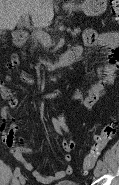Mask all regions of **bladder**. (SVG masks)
Instances as JSON below:
<instances>
[{"label": "bladder", "mask_w": 119, "mask_h": 185, "mask_svg": "<svg viewBox=\"0 0 119 185\" xmlns=\"http://www.w3.org/2000/svg\"><path fill=\"white\" fill-rule=\"evenodd\" d=\"M55 185H79V184L72 180H63L57 182Z\"/></svg>", "instance_id": "1"}]
</instances>
